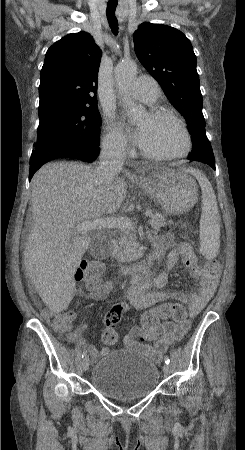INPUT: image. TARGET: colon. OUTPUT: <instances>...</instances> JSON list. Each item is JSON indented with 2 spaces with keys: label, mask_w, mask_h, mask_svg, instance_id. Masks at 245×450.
Returning <instances> with one entry per match:
<instances>
[{
  "label": "colon",
  "mask_w": 245,
  "mask_h": 450,
  "mask_svg": "<svg viewBox=\"0 0 245 450\" xmlns=\"http://www.w3.org/2000/svg\"><path fill=\"white\" fill-rule=\"evenodd\" d=\"M220 268V264L217 260L211 259L206 264V270L210 273H216ZM103 266L96 261H85L76 271L74 277L76 281H84L87 286L96 288L101 284V273L103 272ZM73 312L67 308H61L59 310H46L44 317L46 321L54 326L56 329L66 332L71 328ZM123 315V307L121 304L113 305L104 316V331L103 341L106 344H115L118 340V335L114 330ZM186 308L178 303L166 302L158 305L157 307L147 311L142 316V334L140 340L145 342L149 339V334L156 326L166 319H171L176 323H184L187 321Z\"/></svg>",
  "instance_id": "obj_1"
}]
</instances>
